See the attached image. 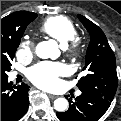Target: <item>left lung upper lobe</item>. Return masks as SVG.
Listing matches in <instances>:
<instances>
[{
    "mask_svg": "<svg viewBox=\"0 0 121 121\" xmlns=\"http://www.w3.org/2000/svg\"><path fill=\"white\" fill-rule=\"evenodd\" d=\"M78 18L90 34V43L83 68L87 75L79 80L77 86L81 92L112 101L118 85L114 53L97 25L82 15Z\"/></svg>",
    "mask_w": 121,
    "mask_h": 121,
    "instance_id": "left-lung-upper-lobe-1",
    "label": "left lung upper lobe"
}]
</instances>
